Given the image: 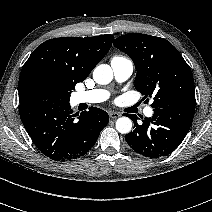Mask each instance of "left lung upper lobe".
I'll return each mask as SVG.
<instances>
[{
  "label": "left lung upper lobe",
  "mask_w": 212,
  "mask_h": 212,
  "mask_svg": "<svg viewBox=\"0 0 212 212\" xmlns=\"http://www.w3.org/2000/svg\"><path fill=\"white\" fill-rule=\"evenodd\" d=\"M114 46L132 58L137 70L135 88L144 95L143 99H154V109L179 102L195 103L191 69L170 42L129 33L115 39Z\"/></svg>",
  "instance_id": "1"
}]
</instances>
